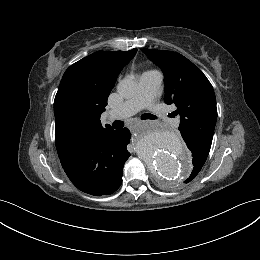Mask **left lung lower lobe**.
I'll return each instance as SVG.
<instances>
[{"label": "left lung lower lobe", "instance_id": "0a47b994", "mask_svg": "<svg viewBox=\"0 0 260 260\" xmlns=\"http://www.w3.org/2000/svg\"><path fill=\"white\" fill-rule=\"evenodd\" d=\"M187 146H188L189 150L192 152V157H193V162H194L193 166L195 168L193 167V171L191 172L189 178H187L184 181L185 183H188L191 180H193L196 177V175L199 173L198 164H197V162L199 160H197V159H199V158L207 159V156H208V153L204 149H202L200 146H198L192 142H187Z\"/></svg>", "mask_w": 260, "mask_h": 260}]
</instances>
